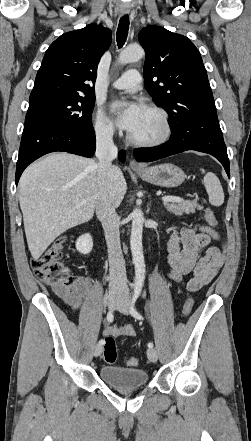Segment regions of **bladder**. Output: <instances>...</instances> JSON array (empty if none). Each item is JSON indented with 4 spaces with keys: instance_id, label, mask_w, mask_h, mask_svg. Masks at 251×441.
<instances>
[{
    "instance_id": "obj_1",
    "label": "bladder",
    "mask_w": 251,
    "mask_h": 441,
    "mask_svg": "<svg viewBox=\"0 0 251 441\" xmlns=\"http://www.w3.org/2000/svg\"><path fill=\"white\" fill-rule=\"evenodd\" d=\"M99 376L103 382L116 389L139 388L149 382V374L140 368L105 365L100 368Z\"/></svg>"
}]
</instances>
